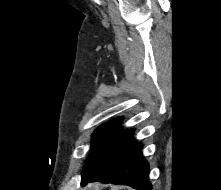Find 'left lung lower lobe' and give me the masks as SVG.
Masks as SVG:
<instances>
[{"label": "left lung lower lobe", "mask_w": 221, "mask_h": 190, "mask_svg": "<svg viewBox=\"0 0 221 190\" xmlns=\"http://www.w3.org/2000/svg\"><path fill=\"white\" fill-rule=\"evenodd\" d=\"M134 129L123 130L102 153L81 185L91 181L124 184L139 190H151L149 165L142 155V144L134 138Z\"/></svg>", "instance_id": "0a47b994"}]
</instances>
